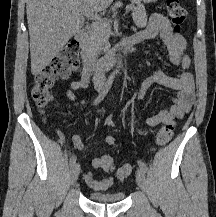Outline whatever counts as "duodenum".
<instances>
[{
	"label": "duodenum",
	"mask_w": 216,
	"mask_h": 217,
	"mask_svg": "<svg viewBox=\"0 0 216 217\" xmlns=\"http://www.w3.org/2000/svg\"><path fill=\"white\" fill-rule=\"evenodd\" d=\"M76 39L84 48L83 67L81 70L83 75H91L109 68L124 53L141 41V37L138 35L126 37L110 47L102 56H99L90 50L85 29H80L76 32Z\"/></svg>",
	"instance_id": "410a0bca"
}]
</instances>
